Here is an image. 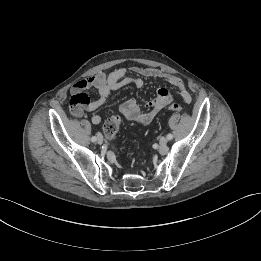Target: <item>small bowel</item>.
<instances>
[{
  "instance_id": "c3829d8e",
  "label": "small bowel",
  "mask_w": 261,
  "mask_h": 261,
  "mask_svg": "<svg viewBox=\"0 0 261 261\" xmlns=\"http://www.w3.org/2000/svg\"><path fill=\"white\" fill-rule=\"evenodd\" d=\"M130 70L136 76H127V69L121 67L109 74L100 72L77 81L71 88L70 109L72 114L76 117H81L84 110L89 112L98 110L105 104L108 96L113 91L127 85L142 88L144 85L143 78L162 80L177 91L183 103L188 104L191 102V95L180 78L155 68L133 66ZM89 89H95L98 92L96 99H91L87 95L85 91ZM172 100L173 96L166 88H159L156 92V97L148 102L144 108H141L136 100L128 99L119 106L118 112L127 120L147 125ZM91 121L93 124H99L102 121V117L95 114L92 116Z\"/></svg>"
}]
</instances>
